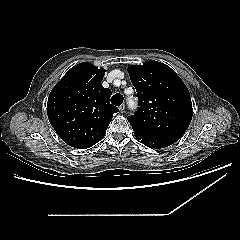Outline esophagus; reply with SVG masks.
I'll return each instance as SVG.
<instances>
[{"label":"esophagus","mask_w":240,"mask_h":240,"mask_svg":"<svg viewBox=\"0 0 240 240\" xmlns=\"http://www.w3.org/2000/svg\"><path fill=\"white\" fill-rule=\"evenodd\" d=\"M119 112L120 113H124L125 112V105L122 104L120 107H119Z\"/></svg>","instance_id":"obj_1"}]
</instances>
